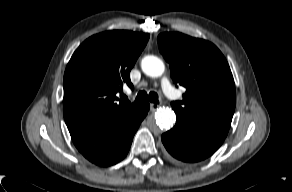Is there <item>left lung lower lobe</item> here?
<instances>
[{"instance_id": "left-lung-lower-lobe-1", "label": "left lung lower lobe", "mask_w": 292, "mask_h": 192, "mask_svg": "<svg viewBox=\"0 0 292 192\" xmlns=\"http://www.w3.org/2000/svg\"><path fill=\"white\" fill-rule=\"evenodd\" d=\"M227 133L214 128L176 122L161 138L171 156L191 163L211 156L221 146Z\"/></svg>"}]
</instances>
